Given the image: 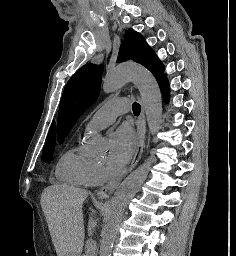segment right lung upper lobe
Returning <instances> with one entry per match:
<instances>
[{
  "instance_id": "cb5924a9",
  "label": "right lung upper lobe",
  "mask_w": 236,
  "mask_h": 256,
  "mask_svg": "<svg viewBox=\"0 0 236 256\" xmlns=\"http://www.w3.org/2000/svg\"><path fill=\"white\" fill-rule=\"evenodd\" d=\"M47 142H55V125H53L51 128Z\"/></svg>"
}]
</instances>
